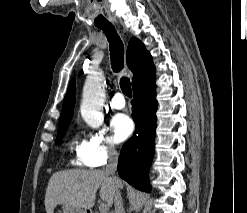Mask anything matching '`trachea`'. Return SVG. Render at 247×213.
I'll use <instances>...</instances> for the list:
<instances>
[{
    "label": "trachea",
    "instance_id": "1",
    "mask_svg": "<svg viewBox=\"0 0 247 213\" xmlns=\"http://www.w3.org/2000/svg\"><path fill=\"white\" fill-rule=\"evenodd\" d=\"M98 28L102 29L105 33L109 45H110V58L111 65L114 72H120L124 68V45L117 34L114 26L111 23L97 25ZM120 87L122 92L128 96L132 97V89L129 78L122 77L120 79Z\"/></svg>",
    "mask_w": 247,
    "mask_h": 213
}]
</instances>
